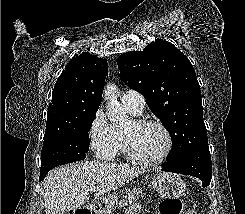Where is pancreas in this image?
Here are the masks:
<instances>
[{
    "instance_id": "obj_1",
    "label": "pancreas",
    "mask_w": 245,
    "mask_h": 214,
    "mask_svg": "<svg viewBox=\"0 0 245 214\" xmlns=\"http://www.w3.org/2000/svg\"><path fill=\"white\" fill-rule=\"evenodd\" d=\"M145 194L143 193L142 188H133L128 189L126 194L122 196V199L119 201V208L136 201L138 198H144Z\"/></svg>"
}]
</instances>
